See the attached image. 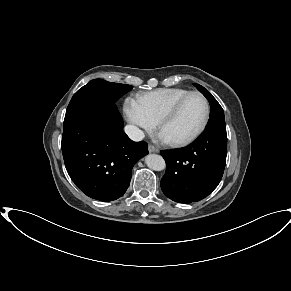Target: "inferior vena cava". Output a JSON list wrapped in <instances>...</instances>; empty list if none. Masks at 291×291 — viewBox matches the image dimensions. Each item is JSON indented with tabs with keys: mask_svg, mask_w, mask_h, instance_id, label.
Masks as SVG:
<instances>
[{
	"mask_svg": "<svg viewBox=\"0 0 291 291\" xmlns=\"http://www.w3.org/2000/svg\"><path fill=\"white\" fill-rule=\"evenodd\" d=\"M124 130L133 141H141L144 138V132L134 125H126Z\"/></svg>",
	"mask_w": 291,
	"mask_h": 291,
	"instance_id": "1",
	"label": "inferior vena cava"
}]
</instances>
